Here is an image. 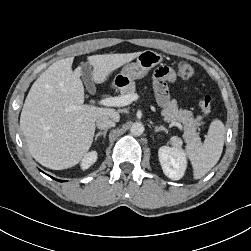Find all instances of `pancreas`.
<instances>
[{
    "mask_svg": "<svg viewBox=\"0 0 251 251\" xmlns=\"http://www.w3.org/2000/svg\"><path fill=\"white\" fill-rule=\"evenodd\" d=\"M136 91L135 82L129 83L127 86L121 88V96L127 94H133ZM161 115L164 117L166 122L171 123H182L184 128V139L186 141H199L200 137L197 132L198 126L202 125L203 122H200L201 117L198 116L194 118L193 113L188 110L178 109L177 101L167 100L163 105Z\"/></svg>",
    "mask_w": 251,
    "mask_h": 251,
    "instance_id": "pancreas-1",
    "label": "pancreas"
}]
</instances>
